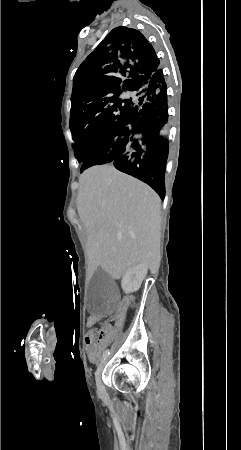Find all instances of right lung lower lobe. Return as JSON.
Instances as JSON below:
<instances>
[{"label":"right lung lower lobe","mask_w":241,"mask_h":450,"mask_svg":"<svg viewBox=\"0 0 241 450\" xmlns=\"http://www.w3.org/2000/svg\"><path fill=\"white\" fill-rule=\"evenodd\" d=\"M145 100L143 113L135 120L114 129L92 146L88 126H81L73 136L75 155L88 157L85 163L98 165L108 162L112 147L141 134L144 140L130 152L114 159L116 169L132 175L151 186L161 197L165 196L164 175L168 157V140L164 134L168 122L167 87L161 69L144 77Z\"/></svg>","instance_id":"1"}]
</instances>
